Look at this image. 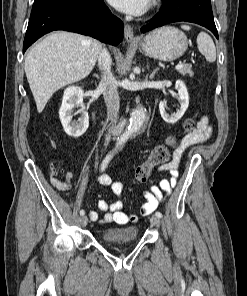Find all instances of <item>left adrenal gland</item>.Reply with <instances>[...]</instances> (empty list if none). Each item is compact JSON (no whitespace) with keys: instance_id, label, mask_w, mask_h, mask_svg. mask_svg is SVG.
Returning a JSON list of instances; mask_svg holds the SVG:
<instances>
[{"instance_id":"left-adrenal-gland-1","label":"left adrenal gland","mask_w":247,"mask_h":296,"mask_svg":"<svg viewBox=\"0 0 247 296\" xmlns=\"http://www.w3.org/2000/svg\"><path fill=\"white\" fill-rule=\"evenodd\" d=\"M158 69L153 70V72L150 74L149 78L153 79L155 74L157 73Z\"/></svg>"}]
</instances>
